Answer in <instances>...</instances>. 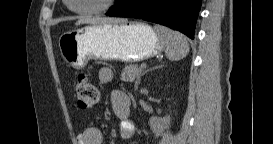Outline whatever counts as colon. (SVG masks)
<instances>
[{
  "label": "colon",
  "mask_w": 273,
  "mask_h": 144,
  "mask_svg": "<svg viewBox=\"0 0 273 144\" xmlns=\"http://www.w3.org/2000/svg\"><path fill=\"white\" fill-rule=\"evenodd\" d=\"M75 89L77 107L80 110H89L96 104L98 100V90L89 76L80 74L77 78Z\"/></svg>",
  "instance_id": "obj_1"
}]
</instances>
